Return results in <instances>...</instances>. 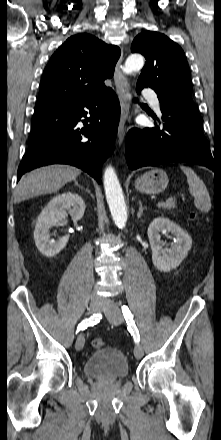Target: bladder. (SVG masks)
Returning <instances> with one entry per match:
<instances>
[{"mask_svg": "<svg viewBox=\"0 0 221 440\" xmlns=\"http://www.w3.org/2000/svg\"><path fill=\"white\" fill-rule=\"evenodd\" d=\"M83 369L86 376L100 380H119L129 372L126 357L116 348L97 351L85 361Z\"/></svg>", "mask_w": 221, "mask_h": 440, "instance_id": "1", "label": "bladder"}]
</instances>
